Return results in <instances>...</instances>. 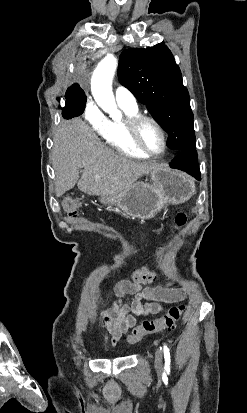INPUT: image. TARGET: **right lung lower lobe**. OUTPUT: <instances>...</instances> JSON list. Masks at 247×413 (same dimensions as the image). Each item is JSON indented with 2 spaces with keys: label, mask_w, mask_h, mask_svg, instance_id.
<instances>
[{
  "label": "right lung lower lobe",
  "mask_w": 247,
  "mask_h": 413,
  "mask_svg": "<svg viewBox=\"0 0 247 413\" xmlns=\"http://www.w3.org/2000/svg\"><path fill=\"white\" fill-rule=\"evenodd\" d=\"M62 114L65 119L76 117V115L73 112H70L65 107L62 109Z\"/></svg>",
  "instance_id": "98d812e1"
}]
</instances>
